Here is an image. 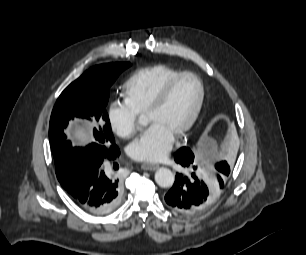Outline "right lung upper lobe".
I'll list each match as a JSON object with an SVG mask.
<instances>
[{
	"instance_id": "obj_1",
	"label": "right lung upper lobe",
	"mask_w": 306,
	"mask_h": 255,
	"mask_svg": "<svg viewBox=\"0 0 306 255\" xmlns=\"http://www.w3.org/2000/svg\"><path fill=\"white\" fill-rule=\"evenodd\" d=\"M67 192H70L72 190V186L64 188Z\"/></svg>"
}]
</instances>
